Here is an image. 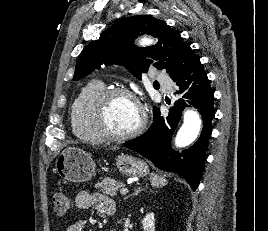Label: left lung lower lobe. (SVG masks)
Here are the masks:
<instances>
[{
	"mask_svg": "<svg viewBox=\"0 0 268 231\" xmlns=\"http://www.w3.org/2000/svg\"><path fill=\"white\" fill-rule=\"evenodd\" d=\"M172 80L178 86L175 94L179 98L170 109L169 115L162 117L158 112L151 127L142 136L125 142L124 146L146 157L159 169L181 175L191 188L196 190L203 173L206 148L211 134L214 93L198 57ZM190 105L198 109L202 115L203 129L197 142L179 153L171 149L170 141L181 118V111Z\"/></svg>",
	"mask_w": 268,
	"mask_h": 231,
	"instance_id": "left-lung-lower-lobe-1",
	"label": "left lung lower lobe"
}]
</instances>
